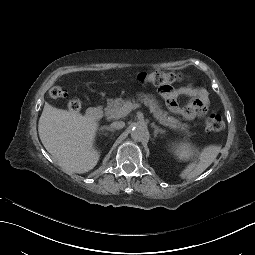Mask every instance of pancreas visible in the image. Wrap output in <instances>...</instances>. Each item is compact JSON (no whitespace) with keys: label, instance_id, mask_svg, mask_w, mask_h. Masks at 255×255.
Instances as JSON below:
<instances>
[{"label":"pancreas","instance_id":"1","mask_svg":"<svg viewBox=\"0 0 255 255\" xmlns=\"http://www.w3.org/2000/svg\"><path fill=\"white\" fill-rule=\"evenodd\" d=\"M142 97L141 101L146 105L149 106L150 111L153 113L154 117L160 122V124L164 126H169L171 128H181L185 129L187 127L186 124H181L177 119L174 117L168 116V112L163 111L159 108L155 99L150 98L147 95H140ZM129 101H125L122 98H117L115 100L108 99L107 107L105 108V115L109 119H119L126 115L123 114L122 107Z\"/></svg>","mask_w":255,"mask_h":255}]
</instances>
